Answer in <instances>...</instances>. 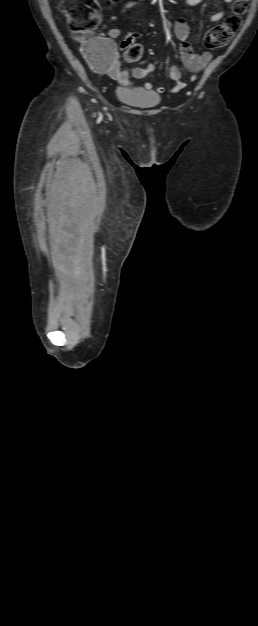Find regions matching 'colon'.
<instances>
[{
	"label": "colon",
	"instance_id": "obj_1",
	"mask_svg": "<svg viewBox=\"0 0 258 626\" xmlns=\"http://www.w3.org/2000/svg\"><path fill=\"white\" fill-rule=\"evenodd\" d=\"M120 0H61L60 9L74 39L84 43V52L88 58L99 65L102 61L100 53L92 42L94 29L99 22L98 9L116 4ZM249 0H234L232 14L221 24L208 31L204 44L208 48L225 46L235 35L241 24V16L245 13ZM125 58L129 62L139 61L144 55L141 44L134 42L132 37L122 41Z\"/></svg>",
	"mask_w": 258,
	"mask_h": 626
}]
</instances>
